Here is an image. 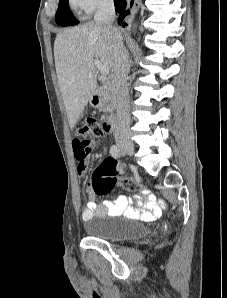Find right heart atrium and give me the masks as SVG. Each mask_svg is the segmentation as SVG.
Instances as JSON below:
<instances>
[{"mask_svg": "<svg viewBox=\"0 0 227 298\" xmlns=\"http://www.w3.org/2000/svg\"><path fill=\"white\" fill-rule=\"evenodd\" d=\"M113 0H70L71 6L85 15H90L95 11L108 8Z\"/></svg>", "mask_w": 227, "mask_h": 298, "instance_id": "d8ad5b80", "label": "right heart atrium"}]
</instances>
